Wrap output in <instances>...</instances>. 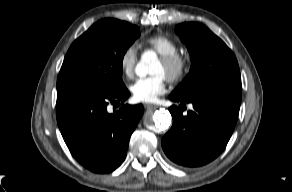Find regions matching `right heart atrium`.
<instances>
[{"label":"right heart atrium","mask_w":292,"mask_h":192,"mask_svg":"<svg viewBox=\"0 0 292 192\" xmlns=\"http://www.w3.org/2000/svg\"><path fill=\"white\" fill-rule=\"evenodd\" d=\"M137 62V51L134 45L127 46L120 55L119 66L127 78H132Z\"/></svg>","instance_id":"obj_1"}]
</instances>
